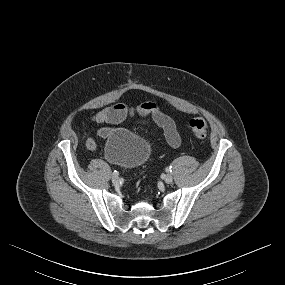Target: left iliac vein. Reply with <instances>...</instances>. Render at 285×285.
Wrapping results in <instances>:
<instances>
[{
    "instance_id": "4c4485c4",
    "label": "left iliac vein",
    "mask_w": 285,
    "mask_h": 285,
    "mask_svg": "<svg viewBox=\"0 0 285 285\" xmlns=\"http://www.w3.org/2000/svg\"><path fill=\"white\" fill-rule=\"evenodd\" d=\"M164 181L168 184H171L173 182V177L170 174L165 175Z\"/></svg>"
}]
</instances>
